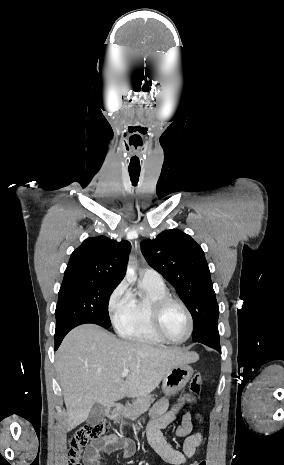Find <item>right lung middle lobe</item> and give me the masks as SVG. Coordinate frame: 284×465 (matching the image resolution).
I'll return each instance as SVG.
<instances>
[{"instance_id":"1","label":"right lung middle lobe","mask_w":284,"mask_h":465,"mask_svg":"<svg viewBox=\"0 0 284 465\" xmlns=\"http://www.w3.org/2000/svg\"><path fill=\"white\" fill-rule=\"evenodd\" d=\"M116 286L93 279H63L55 311L56 329L76 321L110 327L108 302Z\"/></svg>"}]
</instances>
